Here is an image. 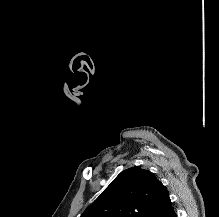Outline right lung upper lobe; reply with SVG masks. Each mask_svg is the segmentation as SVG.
<instances>
[{"label":"right lung upper lobe","mask_w":219,"mask_h":217,"mask_svg":"<svg viewBox=\"0 0 219 217\" xmlns=\"http://www.w3.org/2000/svg\"><path fill=\"white\" fill-rule=\"evenodd\" d=\"M171 204L158 178L136 166L122 171L81 217H166Z\"/></svg>","instance_id":"obj_1"}]
</instances>
